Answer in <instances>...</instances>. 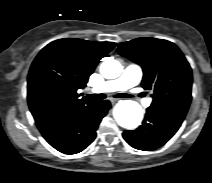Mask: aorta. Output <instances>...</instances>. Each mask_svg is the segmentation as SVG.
<instances>
[{
    "mask_svg": "<svg viewBox=\"0 0 212 183\" xmlns=\"http://www.w3.org/2000/svg\"><path fill=\"white\" fill-rule=\"evenodd\" d=\"M100 72L106 79H115L122 73V65L114 59L104 61ZM117 123L125 129L132 130L140 125L143 112L141 106L132 100H122L116 104L113 111Z\"/></svg>",
    "mask_w": 212,
    "mask_h": 183,
    "instance_id": "obj_1",
    "label": "aorta"
}]
</instances>
